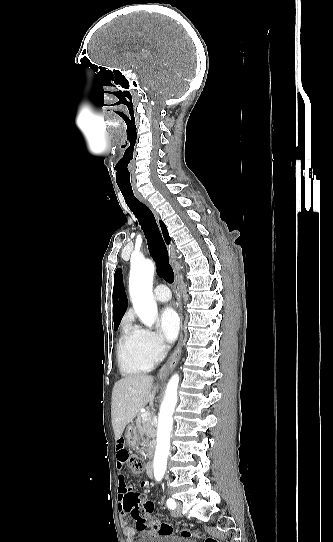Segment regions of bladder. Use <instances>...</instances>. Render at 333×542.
Segmentation results:
<instances>
[{
	"mask_svg": "<svg viewBox=\"0 0 333 542\" xmlns=\"http://www.w3.org/2000/svg\"><path fill=\"white\" fill-rule=\"evenodd\" d=\"M141 542H195L183 535H151Z\"/></svg>",
	"mask_w": 333,
	"mask_h": 542,
	"instance_id": "obj_1",
	"label": "bladder"
}]
</instances>
